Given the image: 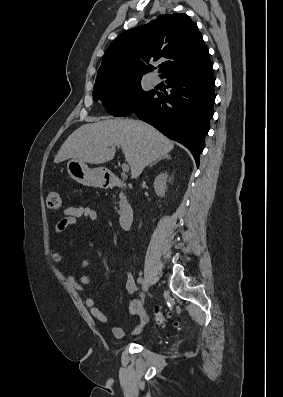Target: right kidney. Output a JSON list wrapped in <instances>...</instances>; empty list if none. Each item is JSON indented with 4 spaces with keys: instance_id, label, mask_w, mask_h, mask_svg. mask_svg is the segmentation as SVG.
Here are the masks:
<instances>
[{
    "instance_id": "right-kidney-1",
    "label": "right kidney",
    "mask_w": 283,
    "mask_h": 397,
    "mask_svg": "<svg viewBox=\"0 0 283 397\" xmlns=\"http://www.w3.org/2000/svg\"><path fill=\"white\" fill-rule=\"evenodd\" d=\"M167 173L159 174L154 181V190L159 197H164L165 190L167 189Z\"/></svg>"
}]
</instances>
